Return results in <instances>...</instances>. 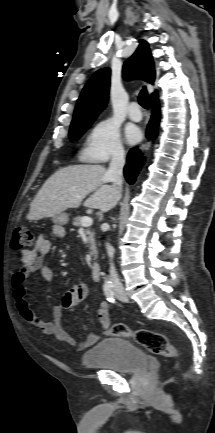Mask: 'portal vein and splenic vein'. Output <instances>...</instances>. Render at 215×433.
Masks as SVG:
<instances>
[{
  "label": "portal vein and splenic vein",
  "mask_w": 215,
  "mask_h": 433,
  "mask_svg": "<svg viewBox=\"0 0 215 433\" xmlns=\"http://www.w3.org/2000/svg\"><path fill=\"white\" fill-rule=\"evenodd\" d=\"M81 224L83 227H89L93 224V220L90 217H83Z\"/></svg>",
  "instance_id": "18ae733b"
}]
</instances>
